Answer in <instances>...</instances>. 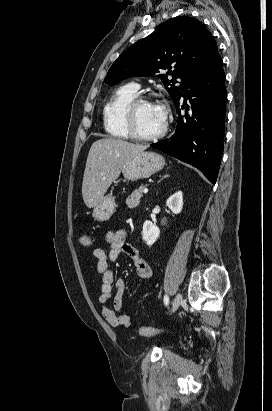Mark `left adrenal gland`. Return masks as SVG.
<instances>
[{"label":"left adrenal gland","mask_w":272,"mask_h":411,"mask_svg":"<svg viewBox=\"0 0 272 411\" xmlns=\"http://www.w3.org/2000/svg\"><path fill=\"white\" fill-rule=\"evenodd\" d=\"M169 175L168 174H165L164 176H162V178L160 179V180H162V179H164V178H166V177H168Z\"/></svg>","instance_id":"a2214340"}]
</instances>
